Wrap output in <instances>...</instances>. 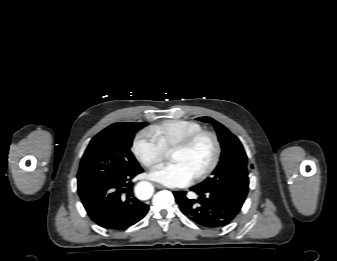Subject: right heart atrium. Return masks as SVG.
<instances>
[{"label": "right heart atrium", "instance_id": "right-heart-atrium-1", "mask_svg": "<svg viewBox=\"0 0 337 261\" xmlns=\"http://www.w3.org/2000/svg\"><path fill=\"white\" fill-rule=\"evenodd\" d=\"M133 152L136 158L146 167H153L166 156V151L159 141L151 132L146 130L136 135L133 141Z\"/></svg>", "mask_w": 337, "mask_h": 261}]
</instances>
